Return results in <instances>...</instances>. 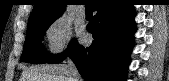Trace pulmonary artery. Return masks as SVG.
Listing matches in <instances>:
<instances>
[{
  "mask_svg": "<svg viewBox=\"0 0 169 81\" xmlns=\"http://www.w3.org/2000/svg\"><path fill=\"white\" fill-rule=\"evenodd\" d=\"M77 14L80 16V17H84L85 16V10L84 9H79L77 11Z\"/></svg>",
  "mask_w": 169,
  "mask_h": 81,
  "instance_id": "obj_1",
  "label": "pulmonary artery"
}]
</instances>
